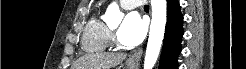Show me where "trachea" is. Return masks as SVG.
Returning <instances> with one entry per match:
<instances>
[{"mask_svg": "<svg viewBox=\"0 0 246 69\" xmlns=\"http://www.w3.org/2000/svg\"><path fill=\"white\" fill-rule=\"evenodd\" d=\"M144 8H147V9H149V5H145V6H144Z\"/></svg>", "mask_w": 246, "mask_h": 69, "instance_id": "3493384b", "label": "trachea"}]
</instances>
